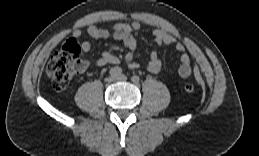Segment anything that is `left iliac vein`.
<instances>
[{
    "instance_id": "4c4485c4",
    "label": "left iliac vein",
    "mask_w": 259,
    "mask_h": 156,
    "mask_svg": "<svg viewBox=\"0 0 259 156\" xmlns=\"http://www.w3.org/2000/svg\"><path fill=\"white\" fill-rule=\"evenodd\" d=\"M116 80L118 81H126L127 80V76L126 75H119L116 77Z\"/></svg>"
}]
</instances>
